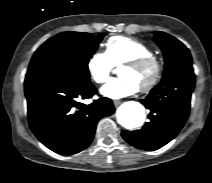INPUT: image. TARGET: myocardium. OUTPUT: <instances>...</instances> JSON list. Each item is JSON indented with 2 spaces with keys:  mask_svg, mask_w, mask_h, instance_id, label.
I'll use <instances>...</instances> for the list:
<instances>
[{
  "mask_svg": "<svg viewBox=\"0 0 212 183\" xmlns=\"http://www.w3.org/2000/svg\"><path fill=\"white\" fill-rule=\"evenodd\" d=\"M122 67H128L135 70L151 69L152 75L149 81L143 86L138 87L141 92L151 90L160 80L162 75L161 62L155 56H143L126 62Z\"/></svg>",
  "mask_w": 212,
  "mask_h": 183,
  "instance_id": "myocardium-1",
  "label": "myocardium"
}]
</instances>
